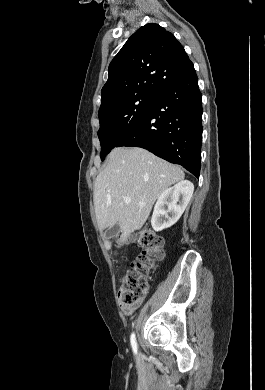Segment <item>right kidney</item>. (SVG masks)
<instances>
[{"instance_id": "ca27d5eb", "label": "right kidney", "mask_w": 265, "mask_h": 390, "mask_svg": "<svg viewBox=\"0 0 265 390\" xmlns=\"http://www.w3.org/2000/svg\"><path fill=\"white\" fill-rule=\"evenodd\" d=\"M193 191L194 185L183 180L162 192L154 206L152 228L158 232L174 225L186 209Z\"/></svg>"}]
</instances>
